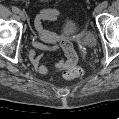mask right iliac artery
<instances>
[{
	"instance_id": "1",
	"label": "right iliac artery",
	"mask_w": 119,
	"mask_h": 119,
	"mask_svg": "<svg viewBox=\"0 0 119 119\" xmlns=\"http://www.w3.org/2000/svg\"><path fill=\"white\" fill-rule=\"evenodd\" d=\"M12 11H13L14 13H18V12H19V9H18L17 7H12Z\"/></svg>"
}]
</instances>
